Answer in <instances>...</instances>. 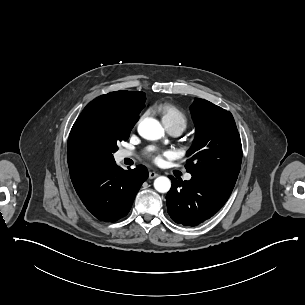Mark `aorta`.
Wrapping results in <instances>:
<instances>
[{"label": "aorta", "instance_id": "1", "mask_svg": "<svg viewBox=\"0 0 305 305\" xmlns=\"http://www.w3.org/2000/svg\"><path fill=\"white\" fill-rule=\"evenodd\" d=\"M138 133L147 140H157L164 135V129L159 121L145 118L138 125ZM154 188L160 193H167L171 188V181L165 176H160L154 181Z\"/></svg>", "mask_w": 305, "mask_h": 305}]
</instances>
